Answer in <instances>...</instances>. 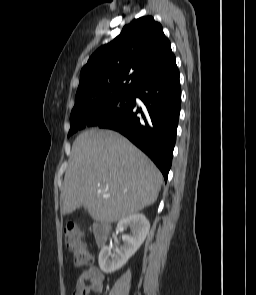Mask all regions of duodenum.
I'll use <instances>...</instances> for the list:
<instances>
[{
	"label": "duodenum",
	"mask_w": 256,
	"mask_h": 295,
	"mask_svg": "<svg viewBox=\"0 0 256 295\" xmlns=\"http://www.w3.org/2000/svg\"><path fill=\"white\" fill-rule=\"evenodd\" d=\"M110 233V226L106 222H96L93 225V237L98 246H103L109 236Z\"/></svg>",
	"instance_id": "duodenum-1"
}]
</instances>
